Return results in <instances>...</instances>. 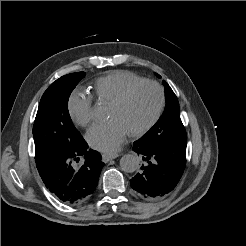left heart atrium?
Returning <instances> with one entry per match:
<instances>
[{
  "label": "left heart atrium",
  "mask_w": 246,
  "mask_h": 246,
  "mask_svg": "<svg viewBox=\"0 0 246 246\" xmlns=\"http://www.w3.org/2000/svg\"><path fill=\"white\" fill-rule=\"evenodd\" d=\"M129 130L118 119L94 125L87 132L88 143L97 150L114 152L125 141Z\"/></svg>",
  "instance_id": "1"
}]
</instances>
